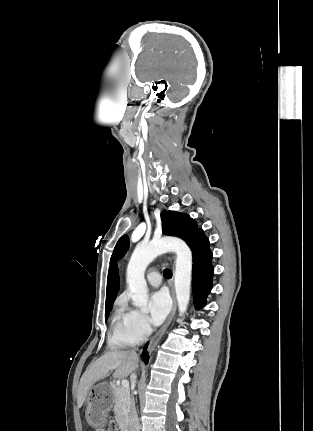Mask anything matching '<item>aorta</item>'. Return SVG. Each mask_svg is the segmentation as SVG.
I'll list each match as a JSON object with an SVG mask.
<instances>
[{
	"mask_svg": "<svg viewBox=\"0 0 313 431\" xmlns=\"http://www.w3.org/2000/svg\"><path fill=\"white\" fill-rule=\"evenodd\" d=\"M175 252V291L180 315L184 314L190 299L192 253L187 244L174 237L154 239L146 245H138L128 263L126 281L131 298L143 312L148 310V288L144 277L147 266L159 255Z\"/></svg>",
	"mask_w": 313,
	"mask_h": 431,
	"instance_id": "762f6f07",
	"label": "aorta"
}]
</instances>
